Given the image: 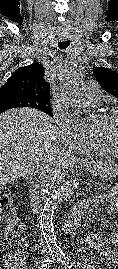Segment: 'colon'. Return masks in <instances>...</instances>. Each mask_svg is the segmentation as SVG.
<instances>
[{
  "instance_id": "colon-1",
  "label": "colon",
  "mask_w": 118,
  "mask_h": 269,
  "mask_svg": "<svg viewBox=\"0 0 118 269\" xmlns=\"http://www.w3.org/2000/svg\"><path fill=\"white\" fill-rule=\"evenodd\" d=\"M0 221L5 223L4 236L1 241L3 250L1 249V252L6 257L7 261H9L14 255L7 251V249L11 246L21 244L22 225L20 219L15 214L10 193L3 188H0ZM3 252H5V254ZM7 268L16 269L15 266L8 263Z\"/></svg>"
}]
</instances>
